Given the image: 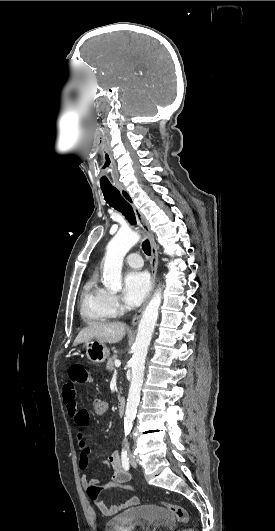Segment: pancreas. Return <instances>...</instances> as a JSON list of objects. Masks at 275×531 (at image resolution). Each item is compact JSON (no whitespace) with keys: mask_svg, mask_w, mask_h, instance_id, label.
Wrapping results in <instances>:
<instances>
[{"mask_svg":"<svg viewBox=\"0 0 275 531\" xmlns=\"http://www.w3.org/2000/svg\"><path fill=\"white\" fill-rule=\"evenodd\" d=\"M118 361L117 355H112L111 359H108L106 365V371H114V363Z\"/></svg>","mask_w":275,"mask_h":531,"instance_id":"1","label":"pancreas"}]
</instances>
